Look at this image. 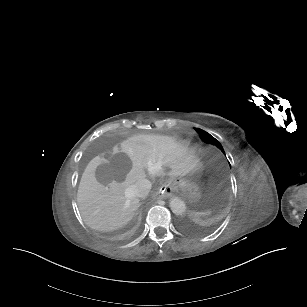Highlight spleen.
I'll return each instance as SVG.
<instances>
[{"label": "spleen", "instance_id": "3e777b00", "mask_svg": "<svg viewBox=\"0 0 307 307\" xmlns=\"http://www.w3.org/2000/svg\"><path fill=\"white\" fill-rule=\"evenodd\" d=\"M191 215L193 214L194 216L197 214L195 211L193 212L192 210L189 212ZM212 212L210 211V210H208V211H204V210H202L199 214L202 216V215H206V214H208V215H210Z\"/></svg>", "mask_w": 307, "mask_h": 307}]
</instances>
